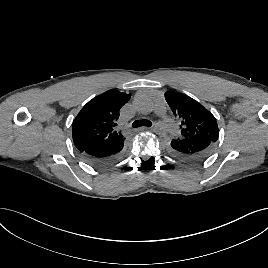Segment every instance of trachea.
<instances>
[{
	"instance_id": "1",
	"label": "trachea",
	"mask_w": 268,
	"mask_h": 268,
	"mask_svg": "<svg viewBox=\"0 0 268 268\" xmlns=\"http://www.w3.org/2000/svg\"><path fill=\"white\" fill-rule=\"evenodd\" d=\"M141 126H147V127H151L152 126V122L149 120H136L133 122L132 127L133 128H137V127H141Z\"/></svg>"
}]
</instances>
